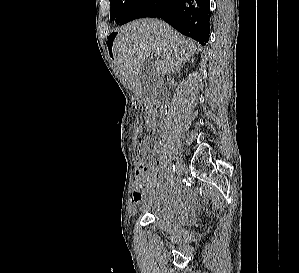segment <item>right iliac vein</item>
I'll return each instance as SVG.
<instances>
[{
	"label": "right iliac vein",
	"instance_id": "63e3f726",
	"mask_svg": "<svg viewBox=\"0 0 299 273\" xmlns=\"http://www.w3.org/2000/svg\"><path fill=\"white\" fill-rule=\"evenodd\" d=\"M183 171V161L181 158H177L176 160V174L180 176Z\"/></svg>",
	"mask_w": 299,
	"mask_h": 273
}]
</instances>
